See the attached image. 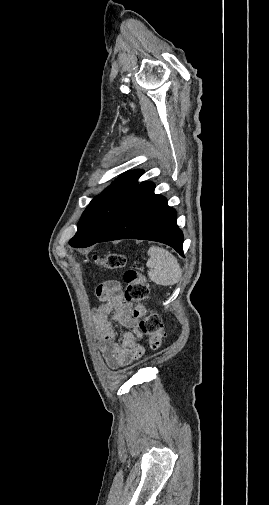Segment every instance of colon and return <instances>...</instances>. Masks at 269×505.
Returning a JSON list of instances; mask_svg holds the SVG:
<instances>
[{"instance_id": "1", "label": "colon", "mask_w": 269, "mask_h": 505, "mask_svg": "<svg viewBox=\"0 0 269 505\" xmlns=\"http://www.w3.org/2000/svg\"><path fill=\"white\" fill-rule=\"evenodd\" d=\"M95 262L109 270H118L125 266L126 258L122 253L109 252L103 257H95ZM126 284L125 299L135 303L133 316L139 321L140 331L147 337L151 350L160 349L165 342L164 324L161 316L146 309L144 301L150 292V283L136 266H132L124 273Z\"/></svg>"}]
</instances>
